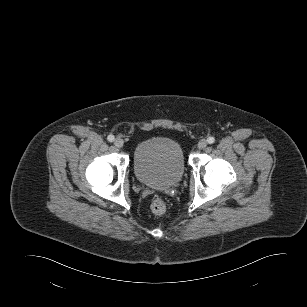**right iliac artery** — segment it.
<instances>
[{
    "instance_id": "82829eb1",
    "label": "right iliac artery",
    "mask_w": 307,
    "mask_h": 307,
    "mask_svg": "<svg viewBox=\"0 0 307 307\" xmlns=\"http://www.w3.org/2000/svg\"><path fill=\"white\" fill-rule=\"evenodd\" d=\"M107 139H108L109 142H113L115 138H114L113 135H109V136L107 137Z\"/></svg>"
}]
</instances>
